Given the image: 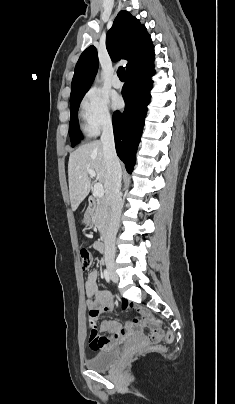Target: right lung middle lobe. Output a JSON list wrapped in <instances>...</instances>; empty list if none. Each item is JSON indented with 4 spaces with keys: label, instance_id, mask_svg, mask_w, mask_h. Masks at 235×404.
<instances>
[{
    "label": "right lung middle lobe",
    "instance_id": "1",
    "mask_svg": "<svg viewBox=\"0 0 235 404\" xmlns=\"http://www.w3.org/2000/svg\"><path fill=\"white\" fill-rule=\"evenodd\" d=\"M81 99L70 102V123H69V135L71 139L72 146H75L83 137L79 132V124H78V108L80 105Z\"/></svg>",
    "mask_w": 235,
    "mask_h": 404
}]
</instances>
